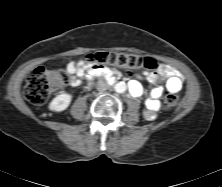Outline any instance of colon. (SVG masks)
I'll return each mask as SVG.
<instances>
[{
	"mask_svg": "<svg viewBox=\"0 0 222 187\" xmlns=\"http://www.w3.org/2000/svg\"><path fill=\"white\" fill-rule=\"evenodd\" d=\"M79 60L89 68L90 72L105 70L108 66H118L130 71L152 70L157 66L156 61L152 58L115 52H98L86 55ZM69 82L70 76L67 71L50 70L39 66L28 75L24 95L31 104L40 105L52 92L66 86ZM178 101L179 97L176 93H168L163 98V106L166 109H172L178 104Z\"/></svg>",
	"mask_w": 222,
	"mask_h": 187,
	"instance_id": "1",
	"label": "colon"
}]
</instances>
